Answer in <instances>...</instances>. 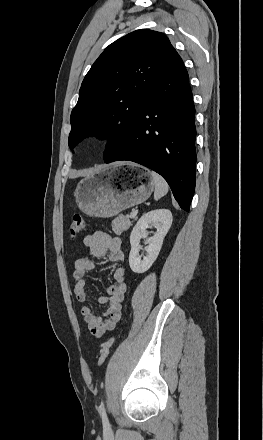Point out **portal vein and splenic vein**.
<instances>
[{"label":"portal vein and splenic vein","instance_id":"18ae733b","mask_svg":"<svg viewBox=\"0 0 263 440\" xmlns=\"http://www.w3.org/2000/svg\"><path fill=\"white\" fill-rule=\"evenodd\" d=\"M137 215V212L135 210H132V212L130 213V218H135Z\"/></svg>","mask_w":263,"mask_h":440}]
</instances>
